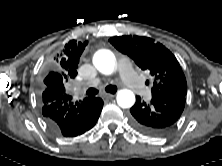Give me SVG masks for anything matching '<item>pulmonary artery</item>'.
I'll list each match as a JSON object with an SVG mask.
<instances>
[{"instance_id":"e3ab8cb5","label":"pulmonary artery","mask_w":222,"mask_h":166,"mask_svg":"<svg viewBox=\"0 0 222 166\" xmlns=\"http://www.w3.org/2000/svg\"><path fill=\"white\" fill-rule=\"evenodd\" d=\"M120 77L123 83L130 89L145 94L147 88L141 83L139 76L134 70L132 63L129 59L124 58L119 61L118 64ZM99 83V79H93L88 84L95 86ZM84 85L78 87L79 90H82Z\"/></svg>"}]
</instances>
